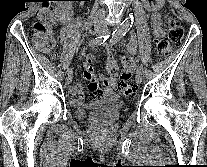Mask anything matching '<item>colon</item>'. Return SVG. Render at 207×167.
Masks as SVG:
<instances>
[{"label":"colon","mask_w":207,"mask_h":167,"mask_svg":"<svg viewBox=\"0 0 207 167\" xmlns=\"http://www.w3.org/2000/svg\"><path fill=\"white\" fill-rule=\"evenodd\" d=\"M53 13L51 7H41L37 11V20L33 24L34 40L38 45L44 46L47 50L54 47L52 39ZM168 36L156 40L157 51L166 55L170 52L172 45L179 44L184 36L182 26L173 17L168 18L167 22ZM55 56V54H52ZM118 90L124 95H131L136 88L133 82L129 81V77L122 72L121 80L118 84Z\"/></svg>","instance_id":"obj_1"}]
</instances>
